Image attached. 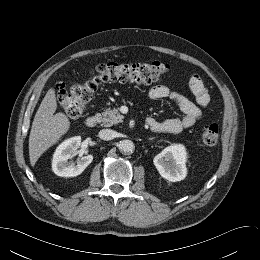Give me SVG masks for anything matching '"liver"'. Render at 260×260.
<instances>
[{"label": "liver", "instance_id": "liver-1", "mask_svg": "<svg viewBox=\"0 0 260 260\" xmlns=\"http://www.w3.org/2000/svg\"><path fill=\"white\" fill-rule=\"evenodd\" d=\"M57 101L55 90L50 88L43 98L32 123L29 136V158L34 166L40 156L54 145L70 128L64 113H55Z\"/></svg>", "mask_w": 260, "mask_h": 260}]
</instances>
